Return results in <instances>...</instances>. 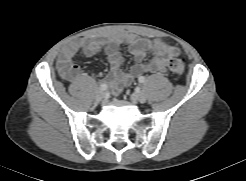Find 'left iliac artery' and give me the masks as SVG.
Returning a JSON list of instances; mask_svg holds the SVG:
<instances>
[{
	"instance_id": "obj_1",
	"label": "left iliac artery",
	"mask_w": 246,
	"mask_h": 181,
	"mask_svg": "<svg viewBox=\"0 0 246 181\" xmlns=\"http://www.w3.org/2000/svg\"><path fill=\"white\" fill-rule=\"evenodd\" d=\"M138 81H139L140 83H145L146 78H145L144 76H140V77L138 78Z\"/></svg>"
}]
</instances>
